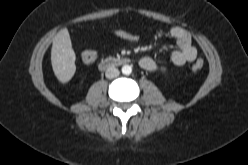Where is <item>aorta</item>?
<instances>
[{
  "mask_svg": "<svg viewBox=\"0 0 248 165\" xmlns=\"http://www.w3.org/2000/svg\"><path fill=\"white\" fill-rule=\"evenodd\" d=\"M132 72V67L130 65H123L122 67V73L124 75H130Z\"/></svg>",
  "mask_w": 248,
  "mask_h": 165,
  "instance_id": "obj_1",
  "label": "aorta"
}]
</instances>
